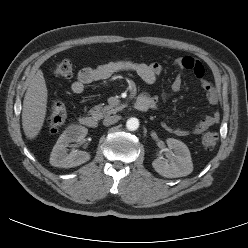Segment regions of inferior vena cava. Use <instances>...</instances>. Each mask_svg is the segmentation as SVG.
Wrapping results in <instances>:
<instances>
[{"label": "inferior vena cava", "instance_id": "1", "mask_svg": "<svg viewBox=\"0 0 248 248\" xmlns=\"http://www.w3.org/2000/svg\"><path fill=\"white\" fill-rule=\"evenodd\" d=\"M121 119V116L113 115V116H106L103 120V125L109 126L116 122H118Z\"/></svg>", "mask_w": 248, "mask_h": 248}]
</instances>
